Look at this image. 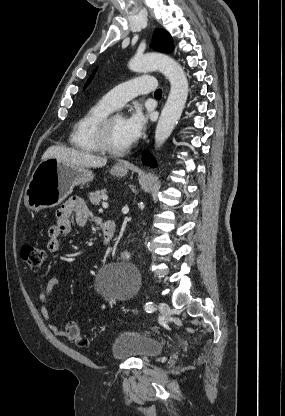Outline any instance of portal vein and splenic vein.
Here are the masks:
<instances>
[{
    "label": "portal vein and splenic vein",
    "instance_id": "1",
    "mask_svg": "<svg viewBox=\"0 0 285 416\" xmlns=\"http://www.w3.org/2000/svg\"><path fill=\"white\" fill-rule=\"evenodd\" d=\"M109 204H107V202H103L102 204V208H108Z\"/></svg>",
    "mask_w": 285,
    "mask_h": 416
}]
</instances>
